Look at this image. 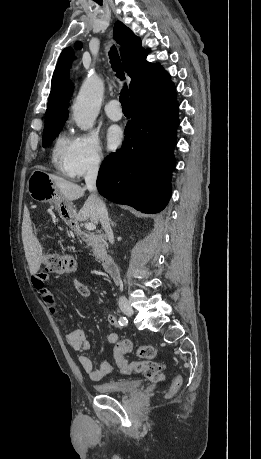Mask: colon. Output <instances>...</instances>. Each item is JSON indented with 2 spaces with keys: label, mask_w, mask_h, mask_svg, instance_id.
<instances>
[{
  "label": "colon",
  "mask_w": 261,
  "mask_h": 459,
  "mask_svg": "<svg viewBox=\"0 0 261 459\" xmlns=\"http://www.w3.org/2000/svg\"><path fill=\"white\" fill-rule=\"evenodd\" d=\"M40 251L44 252L45 248L41 247ZM42 258L47 260L46 266L47 270L50 272L69 273L73 272L76 268L75 259L69 254L55 252L51 255L50 253H45L42 255ZM133 351L143 360L128 362L124 356ZM114 353L118 358L117 366L121 373L130 374L133 372H140L152 382H161L165 380L164 365L154 361L156 350L153 346H134L129 339H123L116 343ZM181 384V377H177L171 385L169 394L172 395L176 393L181 387Z\"/></svg>",
  "instance_id": "obj_1"
}]
</instances>
